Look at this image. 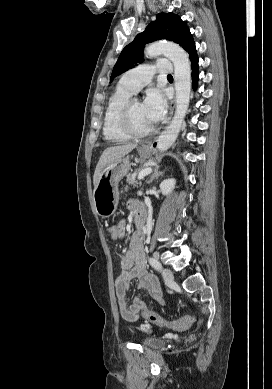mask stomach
<instances>
[{"instance_id":"1","label":"stomach","mask_w":272,"mask_h":389,"mask_svg":"<svg viewBox=\"0 0 272 389\" xmlns=\"http://www.w3.org/2000/svg\"><path fill=\"white\" fill-rule=\"evenodd\" d=\"M138 153L141 158L148 159L152 155V149L141 146ZM130 166L129 156H124L102 171L93 193L95 210L99 216L108 218L116 211L119 202L118 183L129 172Z\"/></svg>"}]
</instances>
